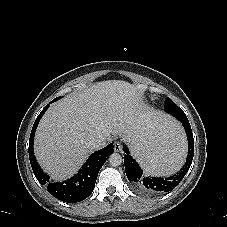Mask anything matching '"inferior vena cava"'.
Masks as SVG:
<instances>
[{
  "instance_id": "602c4592",
  "label": "inferior vena cava",
  "mask_w": 227,
  "mask_h": 227,
  "mask_svg": "<svg viewBox=\"0 0 227 227\" xmlns=\"http://www.w3.org/2000/svg\"><path fill=\"white\" fill-rule=\"evenodd\" d=\"M106 144H107L106 138L104 136H98V137L92 138L87 145L92 150H99L105 147Z\"/></svg>"
}]
</instances>
